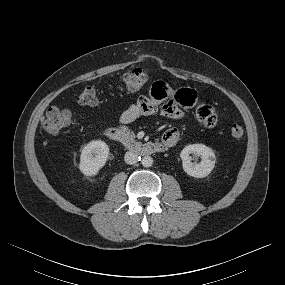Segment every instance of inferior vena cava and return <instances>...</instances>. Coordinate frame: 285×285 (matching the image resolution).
Masks as SVG:
<instances>
[{
    "label": "inferior vena cava",
    "instance_id": "inferior-vena-cava-1",
    "mask_svg": "<svg viewBox=\"0 0 285 285\" xmlns=\"http://www.w3.org/2000/svg\"><path fill=\"white\" fill-rule=\"evenodd\" d=\"M124 160L127 164H135L138 160V155L133 151L125 153Z\"/></svg>",
    "mask_w": 285,
    "mask_h": 285
}]
</instances>
